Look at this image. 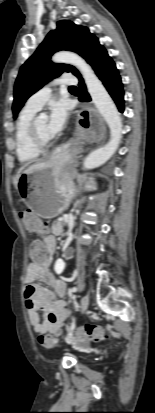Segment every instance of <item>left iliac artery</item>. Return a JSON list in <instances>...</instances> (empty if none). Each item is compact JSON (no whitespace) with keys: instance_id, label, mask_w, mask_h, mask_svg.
Masks as SVG:
<instances>
[{"instance_id":"obj_1","label":"left iliac artery","mask_w":155,"mask_h":413,"mask_svg":"<svg viewBox=\"0 0 155 413\" xmlns=\"http://www.w3.org/2000/svg\"><path fill=\"white\" fill-rule=\"evenodd\" d=\"M71 291H72V292H77V288H76V287H73V288L71 289Z\"/></svg>"}]
</instances>
